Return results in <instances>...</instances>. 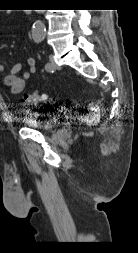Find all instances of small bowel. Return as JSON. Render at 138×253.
<instances>
[{
    "mask_svg": "<svg viewBox=\"0 0 138 253\" xmlns=\"http://www.w3.org/2000/svg\"><path fill=\"white\" fill-rule=\"evenodd\" d=\"M26 64L27 69L23 71L21 76L18 74L23 69L22 63L14 64L8 72L3 74L2 84L7 87L11 95L20 94L24 90L27 80L36 72V61L33 57H29ZM4 70V66L0 63V73H3Z\"/></svg>",
    "mask_w": 138,
    "mask_h": 253,
    "instance_id": "obj_1",
    "label": "small bowel"
}]
</instances>
